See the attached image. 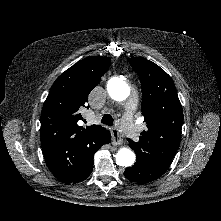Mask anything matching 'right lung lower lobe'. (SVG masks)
<instances>
[{
    "label": "right lung lower lobe",
    "mask_w": 221,
    "mask_h": 221,
    "mask_svg": "<svg viewBox=\"0 0 221 221\" xmlns=\"http://www.w3.org/2000/svg\"><path fill=\"white\" fill-rule=\"evenodd\" d=\"M110 141H111V135H109L108 143H109ZM94 154H95V152L92 153V154L89 156V158H88L86 164L84 165V167H83V169H82L80 175H79L72 183L81 182V181L85 180V179L91 174V172H92V170H93V158H94Z\"/></svg>",
    "instance_id": "obj_1"
}]
</instances>
